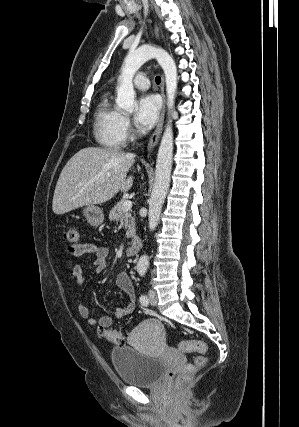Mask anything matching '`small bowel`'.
Masks as SVG:
<instances>
[{
	"label": "small bowel",
	"instance_id": "1",
	"mask_svg": "<svg viewBox=\"0 0 299 427\" xmlns=\"http://www.w3.org/2000/svg\"><path fill=\"white\" fill-rule=\"evenodd\" d=\"M67 252L71 257H81L83 255L93 256V271L95 273H101L105 270L107 265L108 249L102 245L96 243H80L72 245L67 248ZM64 269L67 274L73 277L78 285H83L85 282L82 274L81 267L72 262L66 261L64 263ZM116 284L127 294L128 302L116 308L113 317L115 319H122L125 316L131 314L135 309V290L133 283L129 275L125 272H121L116 277ZM79 315L87 321L89 325H98L100 328H108L112 324L113 318L107 315H103L96 319L91 315L90 309L86 303H81L78 306Z\"/></svg>",
	"mask_w": 299,
	"mask_h": 427
}]
</instances>
